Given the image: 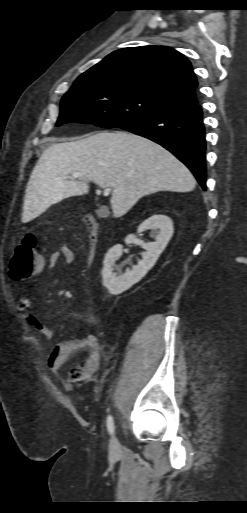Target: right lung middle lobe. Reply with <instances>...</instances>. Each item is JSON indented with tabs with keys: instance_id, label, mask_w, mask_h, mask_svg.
<instances>
[{
	"instance_id": "obj_1",
	"label": "right lung middle lobe",
	"mask_w": 247,
	"mask_h": 513,
	"mask_svg": "<svg viewBox=\"0 0 247 513\" xmlns=\"http://www.w3.org/2000/svg\"><path fill=\"white\" fill-rule=\"evenodd\" d=\"M167 108L158 100L126 89L82 88L74 83L61 100L56 126L80 122L103 128H121Z\"/></svg>"
}]
</instances>
